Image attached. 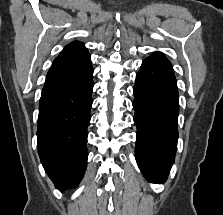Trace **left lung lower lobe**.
Wrapping results in <instances>:
<instances>
[{
    "label": "left lung lower lobe",
    "mask_w": 223,
    "mask_h": 215,
    "mask_svg": "<svg viewBox=\"0 0 223 215\" xmlns=\"http://www.w3.org/2000/svg\"><path fill=\"white\" fill-rule=\"evenodd\" d=\"M133 91L136 161L146 179L164 183L178 140V89L171 63L145 59Z\"/></svg>",
    "instance_id": "left-lung-lower-lobe-1"
}]
</instances>
